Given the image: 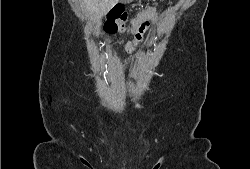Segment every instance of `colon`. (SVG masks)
I'll list each match as a JSON object with an SVG mask.
<instances>
[{
  "mask_svg": "<svg viewBox=\"0 0 250 169\" xmlns=\"http://www.w3.org/2000/svg\"><path fill=\"white\" fill-rule=\"evenodd\" d=\"M138 19V25L135 30V42H130L127 45V50L130 53L138 52V43L143 40L144 35L149 28V22L146 20V18L139 17ZM127 20L128 13L124 7L116 6L108 12L106 22L104 24V30L110 34L121 32L125 29Z\"/></svg>",
  "mask_w": 250,
  "mask_h": 169,
  "instance_id": "colon-1",
  "label": "colon"
}]
</instances>
